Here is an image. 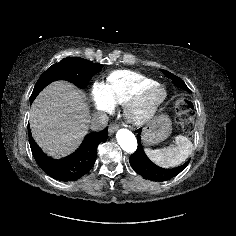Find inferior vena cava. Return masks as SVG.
I'll list each match as a JSON object with an SVG mask.
<instances>
[{"label":"inferior vena cava","mask_w":236,"mask_h":236,"mask_svg":"<svg viewBox=\"0 0 236 236\" xmlns=\"http://www.w3.org/2000/svg\"><path fill=\"white\" fill-rule=\"evenodd\" d=\"M109 121V117L106 113L100 112L94 114L90 120V128L94 131L103 130Z\"/></svg>","instance_id":"obj_1"}]
</instances>
